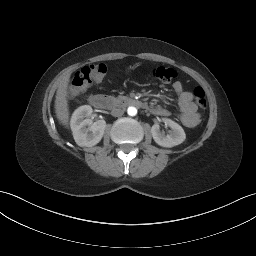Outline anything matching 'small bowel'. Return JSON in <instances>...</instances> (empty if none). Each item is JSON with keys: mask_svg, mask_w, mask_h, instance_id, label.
Segmentation results:
<instances>
[{"mask_svg": "<svg viewBox=\"0 0 256 256\" xmlns=\"http://www.w3.org/2000/svg\"><path fill=\"white\" fill-rule=\"evenodd\" d=\"M173 90L178 96V103L181 110L180 120L186 127H194L199 122L197 106L193 102V94L186 91L181 82L176 81L173 84ZM152 113L159 116H169L170 111L161 106H155L151 109Z\"/></svg>", "mask_w": 256, "mask_h": 256, "instance_id": "obj_1", "label": "small bowel"}]
</instances>
